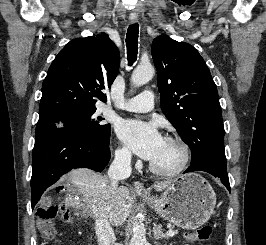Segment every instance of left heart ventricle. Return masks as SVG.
Segmentation results:
<instances>
[{"label": "left heart ventricle", "mask_w": 266, "mask_h": 245, "mask_svg": "<svg viewBox=\"0 0 266 245\" xmlns=\"http://www.w3.org/2000/svg\"><path fill=\"white\" fill-rule=\"evenodd\" d=\"M182 160L180 146L168 140H164L158 154L151 162L157 169L162 171H172L178 168Z\"/></svg>", "instance_id": "1"}]
</instances>
